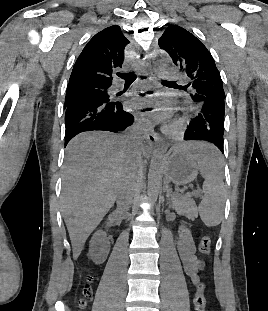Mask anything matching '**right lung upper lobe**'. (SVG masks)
<instances>
[{"instance_id":"1","label":"right lung upper lobe","mask_w":268,"mask_h":311,"mask_svg":"<svg viewBox=\"0 0 268 311\" xmlns=\"http://www.w3.org/2000/svg\"><path fill=\"white\" fill-rule=\"evenodd\" d=\"M128 44L129 40L117 25L97 33L74 64L67 88L82 84L110 87L112 75L122 67Z\"/></svg>"}]
</instances>
